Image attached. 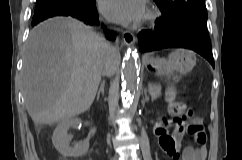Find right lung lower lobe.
<instances>
[{
	"label": "right lung lower lobe",
	"instance_id": "right-lung-lower-lobe-1",
	"mask_svg": "<svg viewBox=\"0 0 242 160\" xmlns=\"http://www.w3.org/2000/svg\"><path fill=\"white\" fill-rule=\"evenodd\" d=\"M54 16H71L90 25L97 24L99 18L94 1H92L89 6L85 7L55 5L36 11L32 19V26ZM106 34L109 39H115L116 37L115 33L107 32Z\"/></svg>",
	"mask_w": 242,
	"mask_h": 160
}]
</instances>
